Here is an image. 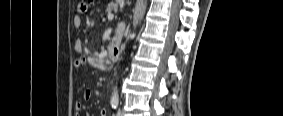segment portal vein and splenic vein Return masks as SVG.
<instances>
[{
  "label": "portal vein and splenic vein",
  "mask_w": 283,
  "mask_h": 116,
  "mask_svg": "<svg viewBox=\"0 0 283 116\" xmlns=\"http://www.w3.org/2000/svg\"><path fill=\"white\" fill-rule=\"evenodd\" d=\"M113 18H114V15H113V14H111V13L108 14V20H109V21L113 20Z\"/></svg>",
  "instance_id": "portal-vein-and-splenic-vein-1"
}]
</instances>
